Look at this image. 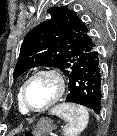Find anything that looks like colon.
Here are the masks:
<instances>
[{"instance_id":"colon-1","label":"colon","mask_w":117,"mask_h":136,"mask_svg":"<svg viewBox=\"0 0 117 136\" xmlns=\"http://www.w3.org/2000/svg\"><path fill=\"white\" fill-rule=\"evenodd\" d=\"M27 135H32L31 133H28Z\"/></svg>"}]
</instances>
